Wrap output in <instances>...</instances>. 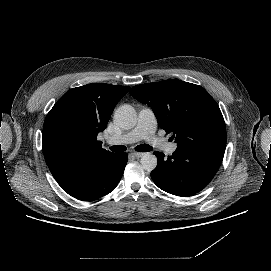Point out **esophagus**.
<instances>
[{"mask_svg":"<svg viewBox=\"0 0 271 271\" xmlns=\"http://www.w3.org/2000/svg\"><path fill=\"white\" fill-rule=\"evenodd\" d=\"M132 154H133L135 157H137V158H140V157H142V156L145 155L144 152H133Z\"/></svg>","mask_w":271,"mask_h":271,"instance_id":"1","label":"esophagus"}]
</instances>
